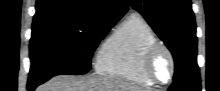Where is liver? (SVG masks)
Instances as JSON below:
<instances>
[{"label":"liver","mask_w":220,"mask_h":91,"mask_svg":"<svg viewBox=\"0 0 220 91\" xmlns=\"http://www.w3.org/2000/svg\"><path fill=\"white\" fill-rule=\"evenodd\" d=\"M37 91H143L123 80L104 77L77 78L55 76L37 88Z\"/></svg>","instance_id":"6515ba94"}]
</instances>
